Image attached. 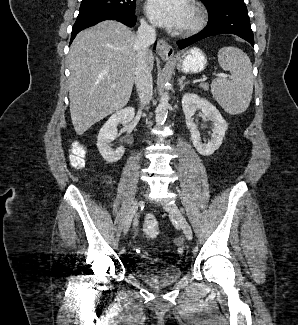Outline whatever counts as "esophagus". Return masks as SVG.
<instances>
[{
    "mask_svg": "<svg viewBox=\"0 0 298 325\" xmlns=\"http://www.w3.org/2000/svg\"><path fill=\"white\" fill-rule=\"evenodd\" d=\"M157 53L164 59L168 60L174 56V49L166 40L160 39L157 42Z\"/></svg>",
    "mask_w": 298,
    "mask_h": 325,
    "instance_id": "obj_1",
    "label": "esophagus"
}]
</instances>
